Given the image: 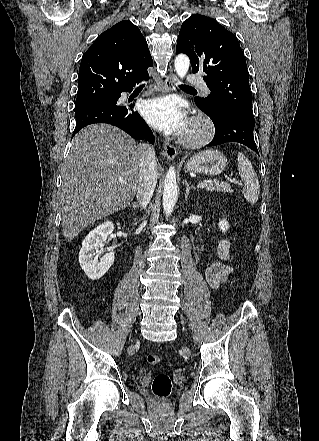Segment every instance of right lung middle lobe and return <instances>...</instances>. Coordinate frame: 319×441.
Masks as SVG:
<instances>
[{"label":"right lung middle lobe","instance_id":"obj_1","mask_svg":"<svg viewBox=\"0 0 319 441\" xmlns=\"http://www.w3.org/2000/svg\"><path fill=\"white\" fill-rule=\"evenodd\" d=\"M112 99H114V97L106 98V99H101V100H95V101L76 102V104H75V111H76V110H79V109H81V108H83V107H86V106H89V105L95 104V103L107 102V101H110V100H112Z\"/></svg>","mask_w":319,"mask_h":441}]
</instances>
